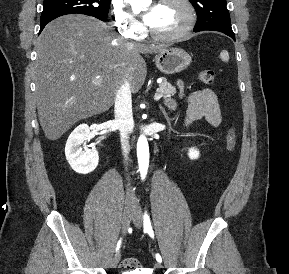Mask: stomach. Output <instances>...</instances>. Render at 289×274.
<instances>
[{"label": "stomach", "mask_w": 289, "mask_h": 274, "mask_svg": "<svg viewBox=\"0 0 289 274\" xmlns=\"http://www.w3.org/2000/svg\"><path fill=\"white\" fill-rule=\"evenodd\" d=\"M190 63V55L180 48H165L155 56L156 67L164 74L179 73Z\"/></svg>", "instance_id": "1"}]
</instances>
